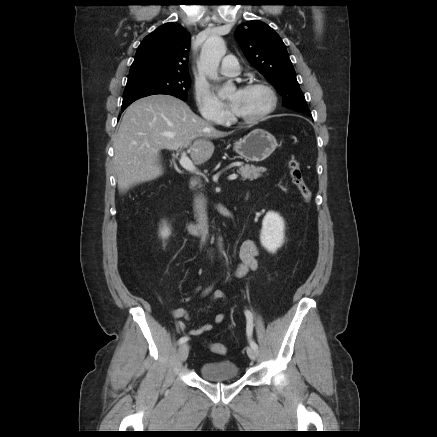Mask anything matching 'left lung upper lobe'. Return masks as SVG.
<instances>
[{"label":"left lung upper lobe","instance_id":"left-lung-upper-lobe-1","mask_svg":"<svg viewBox=\"0 0 437 437\" xmlns=\"http://www.w3.org/2000/svg\"><path fill=\"white\" fill-rule=\"evenodd\" d=\"M235 39L247 60L282 95L284 106L312 116L280 36L267 24L252 20L237 27Z\"/></svg>","mask_w":437,"mask_h":437}]
</instances>
